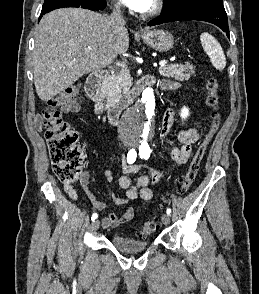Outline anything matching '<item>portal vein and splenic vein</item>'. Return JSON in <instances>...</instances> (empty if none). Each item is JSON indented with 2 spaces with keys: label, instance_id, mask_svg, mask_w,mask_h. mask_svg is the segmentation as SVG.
<instances>
[{
  "label": "portal vein and splenic vein",
  "instance_id": "portal-vein-and-splenic-vein-1",
  "mask_svg": "<svg viewBox=\"0 0 259 294\" xmlns=\"http://www.w3.org/2000/svg\"><path fill=\"white\" fill-rule=\"evenodd\" d=\"M88 49H90V48L88 47ZM166 64H167V61L166 60H162V61L159 62V65L160 66H165ZM117 65H119L120 67L126 68V66H125L124 63L117 62Z\"/></svg>",
  "mask_w": 259,
  "mask_h": 294
}]
</instances>
